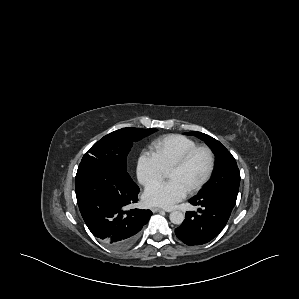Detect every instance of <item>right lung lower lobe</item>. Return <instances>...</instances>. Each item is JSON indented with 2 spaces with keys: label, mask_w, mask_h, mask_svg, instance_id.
Here are the masks:
<instances>
[{
  "label": "right lung lower lobe",
  "mask_w": 299,
  "mask_h": 299,
  "mask_svg": "<svg viewBox=\"0 0 299 299\" xmlns=\"http://www.w3.org/2000/svg\"><path fill=\"white\" fill-rule=\"evenodd\" d=\"M75 189L87 227L112 250L130 248L152 215L150 210L132 208L138 201L137 184L105 166L78 169Z\"/></svg>",
  "instance_id": "right-lung-lower-lobe-1"
}]
</instances>
